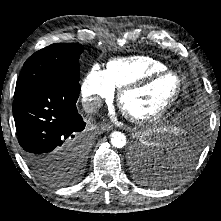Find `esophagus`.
Returning <instances> with one entry per match:
<instances>
[{"label": "esophagus", "instance_id": "1", "mask_svg": "<svg viewBox=\"0 0 221 221\" xmlns=\"http://www.w3.org/2000/svg\"><path fill=\"white\" fill-rule=\"evenodd\" d=\"M101 129L103 131H111L113 129V127L110 124H108V123H103L101 125Z\"/></svg>", "mask_w": 221, "mask_h": 221}]
</instances>
